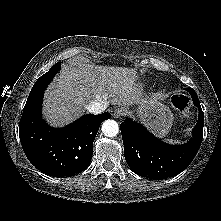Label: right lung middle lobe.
Returning <instances> with one entry per match:
<instances>
[{
    "label": "right lung middle lobe",
    "mask_w": 221,
    "mask_h": 221,
    "mask_svg": "<svg viewBox=\"0 0 221 221\" xmlns=\"http://www.w3.org/2000/svg\"><path fill=\"white\" fill-rule=\"evenodd\" d=\"M60 68H61L60 62L53 65V67L47 73H45L44 75H42L40 78L37 79V81L35 82L34 86L31 89V92L47 86L51 82L53 77L57 74V72L60 70Z\"/></svg>",
    "instance_id": "1"
}]
</instances>
